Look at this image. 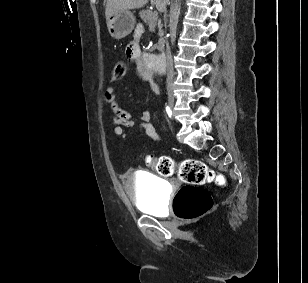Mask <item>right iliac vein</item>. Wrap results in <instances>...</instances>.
<instances>
[{
	"label": "right iliac vein",
	"mask_w": 308,
	"mask_h": 283,
	"mask_svg": "<svg viewBox=\"0 0 308 283\" xmlns=\"http://www.w3.org/2000/svg\"><path fill=\"white\" fill-rule=\"evenodd\" d=\"M168 104H169L170 108L172 109L173 106H174V99H173L172 97H170V98L168 99Z\"/></svg>",
	"instance_id": "63e3f726"
}]
</instances>
